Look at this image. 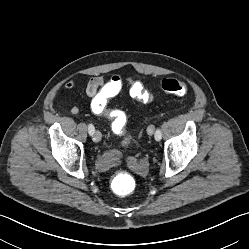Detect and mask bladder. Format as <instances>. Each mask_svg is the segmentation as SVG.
<instances>
[{
	"label": "bladder",
	"instance_id": "obj_1",
	"mask_svg": "<svg viewBox=\"0 0 249 249\" xmlns=\"http://www.w3.org/2000/svg\"><path fill=\"white\" fill-rule=\"evenodd\" d=\"M96 167L101 171H105L110 167V165L100 161L96 163Z\"/></svg>",
	"mask_w": 249,
	"mask_h": 249
}]
</instances>
